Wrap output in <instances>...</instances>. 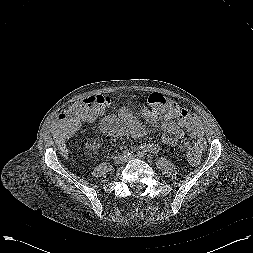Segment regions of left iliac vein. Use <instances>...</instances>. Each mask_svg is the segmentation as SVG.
Returning a JSON list of instances; mask_svg holds the SVG:
<instances>
[{
	"mask_svg": "<svg viewBox=\"0 0 253 253\" xmlns=\"http://www.w3.org/2000/svg\"><path fill=\"white\" fill-rule=\"evenodd\" d=\"M136 158V155H130L129 157H127L126 159H125V161H128V160H131V159H135Z\"/></svg>",
	"mask_w": 253,
	"mask_h": 253,
	"instance_id": "1",
	"label": "left iliac vein"
}]
</instances>
